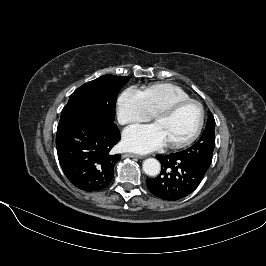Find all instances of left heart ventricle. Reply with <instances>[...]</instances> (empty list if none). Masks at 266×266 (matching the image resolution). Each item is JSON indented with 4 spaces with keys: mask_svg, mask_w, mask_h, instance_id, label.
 <instances>
[{
    "mask_svg": "<svg viewBox=\"0 0 266 266\" xmlns=\"http://www.w3.org/2000/svg\"><path fill=\"white\" fill-rule=\"evenodd\" d=\"M199 121V108L187 104L167 117L158 118L155 125L159 128L166 143L178 142L189 137Z\"/></svg>",
    "mask_w": 266,
    "mask_h": 266,
    "instance_id": "b2bd125f",
    "label": "left heart ventricle"
}]
</instances>
